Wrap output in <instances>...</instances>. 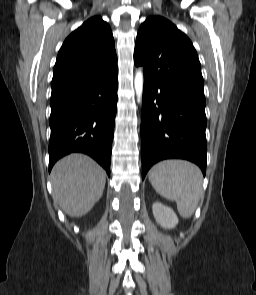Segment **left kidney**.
<instances>
[{
	"label": "left kidney",
	"instance_id": "obj_1",
	"mask_svg": "<svg viewBox=\"0 0 256 295\" xmlns=\"http://www.w3.org/2000/svg\"><path fill=\"white\" fill-rule=\"evenodd\" d=\"M156 222L165 229H172L178 224L176 213L168 206L155 202L152 206Z\"/></svg>",
	"mask_w": 256,
	"mask_h": 295
}]
</instances>
